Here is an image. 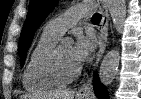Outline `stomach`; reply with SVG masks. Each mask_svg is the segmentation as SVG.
Here are the masks:
<instances>
[{
  "label": "stomach",
  "instance_id": "0dacf381",
  "mask_svg": "<svg viewBox=\"0 0 141 99\" xmlns=\"http://www.w3.org/2000/svg\"><path fill=\"white\" fill-rule=\"evenodd\" d=\"M76 99H88V98L85 96H82V97L77 96Z\"/></svg>",
  "mask_w": 141,
  "mask_h": 99
}]
</instances>
